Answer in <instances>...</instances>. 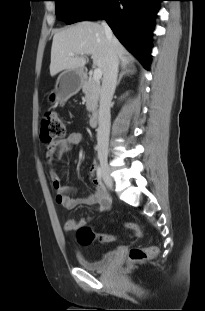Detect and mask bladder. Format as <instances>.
Instances as JSON below:
<instances>
[{
  "mask_svg": "<svg viewBox=\"0 0 205 311\" xmlns=\"http://www.w3.org/2000/svg\"><path fill=\"white\" fill-rule=\"evenodd\" d=\"M116 250H109L102 254L98 260H90L84 254H78L77 259L80 266L88 271H102L116 258Z\"/></svg>",
  "mask_w": 205,
  "mask_h": 311,
  "instance_id": "bladder-1",
  "label": "bladder"
}]
</instances>
